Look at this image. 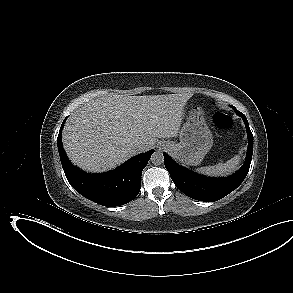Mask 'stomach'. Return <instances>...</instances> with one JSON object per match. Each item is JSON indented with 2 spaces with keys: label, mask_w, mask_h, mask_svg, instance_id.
<instances>
[{
  "label": "stomach",
  "mask_w": 293,
  "mask_h": 293,
  "mask_svg": "<svg viewBox=\"0 0 293 293\" xmlns=\"http://www.w3.org/2000/svg\"><path fill=\"white\" fill-rule=\"evenodd\" d=\"M179 139V143L164 142L163 145L179 162L199 165L213 145V136L205 123L201 107L192 108Z\"/></svg>",
  "instance_id": "1"
}]
</instances>
